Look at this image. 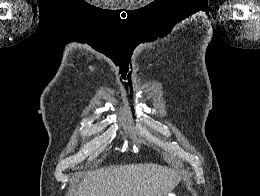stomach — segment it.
<instances>
[{
	"label": "stomach",
	"mask_w": 260,
	"mask_h": 196,
	"mask_svg": "<svg viewBox=\"0 0 260 196\" xmlns=\"http://www.w3.org/2000/svg\"><path fill=\"white\" fill-rule=\"evenodd\" d=\"M163 196H174V193H163Z\"/></svg>",
	"instance_id": "1"
}]
</instances>
